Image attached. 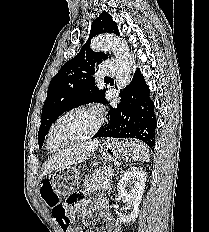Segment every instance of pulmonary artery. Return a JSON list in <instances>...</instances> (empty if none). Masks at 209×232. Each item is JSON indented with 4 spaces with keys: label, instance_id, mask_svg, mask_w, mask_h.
I'll return each mask as SVG.
<instances>
[{
    "label": "pulmonary artery",
    "instance_id": "obj_1",
    "mask_svg": "<svg viewBox=\"0 0 209 232\" xmlns=\"http://www.w3.org/2000/svg\"><path fill=\"white\" fill-rule=\"evenodd\" d=\"M115 72V66L112 62H105L102 64L100 73L102 75H113Z\"/></svg>",
    "mask_w": 209,
    "mask_h": 232
}]
</instances>
